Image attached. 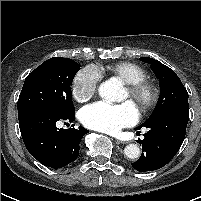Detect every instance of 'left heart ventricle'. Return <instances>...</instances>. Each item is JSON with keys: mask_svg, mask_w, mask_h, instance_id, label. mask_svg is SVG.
I'll list each match as a JSON object with an SVG mask.
<instances>
[{"mask_svg": "<svg viewBox=\"0 0 201 201\" xmlns=\"http://www.w3.org/2000/svg\"><path fill=\"white\" fill-rule=\"evenodd\" d=\"M127 99H130V98H129V93H128L127 89H126L123 100H127ZM132 103L135 105V103L133 101H132Z\"/></svg>", "mask_w": 201, "mask_h": 201, "instance_id": "1", "label": "left heart ventricle"}]
</instances>
